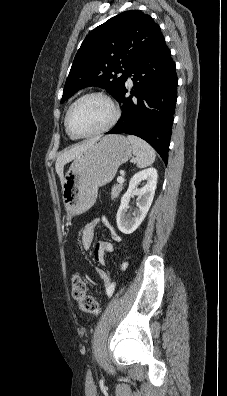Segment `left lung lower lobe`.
Segmentation results:
<instances>
[{
    "instance_id": "1",
    "label": "left lung lower lobe",
    "mask_w": 227,
    "mask_h": 396,
    "mask_svg": "<svg viewBox=\"0 0 227 396\" xmlns=\"http://www.w3.org/2000/svg\"><path fill=\"white\" fill-rule=\"evenodd\" d=\"M176 66L162 36L131 67L134 87L131 95L125 85L116 100L122 104V115L106 134L126 133L148 142L168 161L173 115L177 100ZM128 78V77H127Z\"/></svg>"
}]
</instances>
